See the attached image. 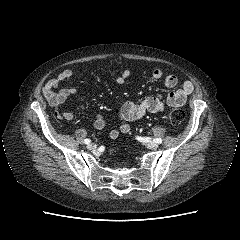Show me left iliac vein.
Listing matches in <instances>:
<instances>
[{
  "label": "left iliac vein",
  "mask_w": 240,
  "mask_h": 240,
  "mask_svg": "<svg viewBox=\"0 0 240 240\" xmlns=\"http://www.w3.org/2000/svg\"><path fill=\"white\" fill-rule=\"evenodd\" d=\"M142 142H144V144L149 148V149H157L158 148V144L154 141H144L141 140Z\"/></svg>",
  "instance_id": "obj_1"
}]
</instances>
